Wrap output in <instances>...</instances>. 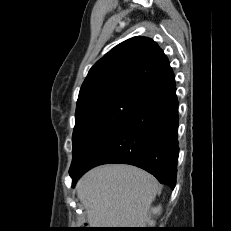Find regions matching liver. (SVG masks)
Returning <instances> with one entry per match:
<instances>
[{
  "label": "liver",
  "mask_w": 231,
  "mask_h": 231,
  "mask_svg": "<svg viewBox=\"0 0 231 231\" xmlns=\"http://www.w3.org/2000/svg\"><path fill=\"white\" fill-rule=\"evenodd\" d=\"M77 196L93 228H142L161 188L149 173L125 164L87 172L76 185Z\"/></svg>",
  "instance_id": "obj_1"
}]
</instances>
